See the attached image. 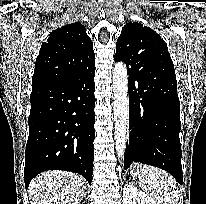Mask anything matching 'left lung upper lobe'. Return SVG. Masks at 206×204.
I'll use <instances>...</instances> for the list:
<instances>
[{
  "mask_svg": "<svg viewBox=\"0 0 206 204\" xmlns=\"http://www.w3.org/2000/svg\"><path fill=\"white\" fill-rule=\"evenodd\" d=\"M114 59L125 62L128 68L148 67L152 74L163 69L176 78L167 45L155 31L141 23L130 22L122 28Z\"/></svg>",
  "mask_w": 206,
  "mask_h": 204,
  "instance_id": "1",
  "label": "left lung upper lobe"
}]
</instances>
